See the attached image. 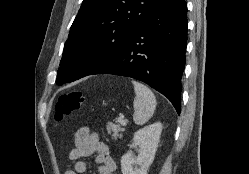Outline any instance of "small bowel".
<instances>
[{
    "label": "small bowel",
    "instance_id": "c3829d8e",
    "mask_svg": "<svg viewBox=\"0 0 249 174\" xmlns=\"http://www.w3.org/2000/svg\"><path fill=\"white\" fill-rule=\"evenodd\" d=\"M94 157V164L99 174H114L117 170L115 160L110 154L109 146L103 142L96 132L84 126L74 135V148L69 153L73 166L65 174H83L88 169V163L81 158Z\"/></svg>",
    "mask_w": 249,
    "mask_h": 174
}]
</instances>
